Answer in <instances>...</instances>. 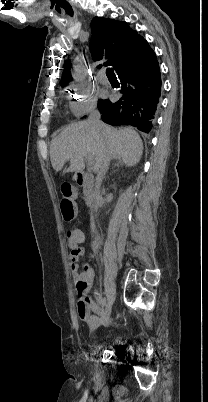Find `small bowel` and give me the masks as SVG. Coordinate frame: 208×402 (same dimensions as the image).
Listing matches in <instances>:
<instances>
[{"label": "small bowel", "instance_id": "obj_1", "mask_svg": "<svg viewBox=\"0 0 208 402\" xmlns=\"http://www.w3.org/2000/svg\"><path fill=\"white\" fill-rule=\"evenodd\" d=\"M86 236H80L79 242L86 243ZM71 271L73 276V281L76 286L77 293L79 297L83 298L86 296V292L91 287L94 279L93 268L89 264H84L82 266V271H80L79 266H75L71 263ZM102 294H98L97 300L90 303V308L95 312V316L89 318L87 321L86 316L81 315L78 318L79 323L82 324L85 330H98L100 327H105L108 322L107 314L102 306V301L104 300ZM109 327H119V324H109Z\"/></svg>", "mask_w": 208, "mask_h": 402}]
</instances>
